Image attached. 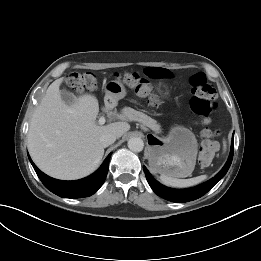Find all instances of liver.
Returning <instances> with one entry per match:
<instances>
[{
    "mask_svg": "<svg viewBox=\"0 0 261 261\" xmlns=\"http://www.w3.org/2000/svg\"><path fill=\"white\" fill-rule=\"evenodd\" d=\"M63 80L59 78L48 87L32 116L27 142L33 161L44 173L75 180L99 167L104 155L100 137L111 133L120 138L130 130V124L125 115L112 113L105 100L103 111L121 121L99 126V104L91 94L74 97V103L67 105L60 92Z\"/></svg>",
    "mask_w": 261,
    "mask_h": 261,
    "instance_id": "1",
    "label": "liver"
}]
</instances>
